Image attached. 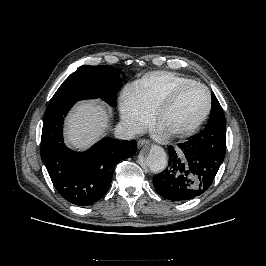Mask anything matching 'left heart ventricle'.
Instances as JSON below:
<instances>
[{
    "mask_svg": "<svg viewBox=\"0 0 266 266\" xmlns=\"http://www.w3.org/2000/svg\"><path fill=\"white\" fill-rule=\"evenodd\" d=\"M207 105L206 93L199 87H189L161 114L158 124L165 131L185 127L197 120Z\"/></svg>",
    "mask_w": 266,
    "mask_h": 266,
    "instance_id": "1",
    "label": "left heart ventricle"
}]
</instances>
